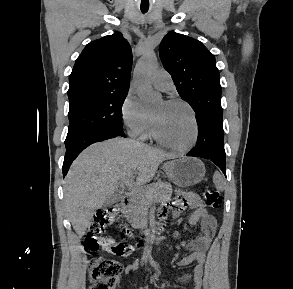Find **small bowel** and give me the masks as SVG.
<instances>
[{"mask_svg": "<svg viewBox=\"0 0 293 289\" xmlns=\"http://www.w3.org/2000/svg\"><path fill=\"white\" fill-rule=\"evenodd\" d=\"M180 201L183 202L182 207L178 206V202ZM176 204L179 208L188 206L194 210L189 218V224L191 226L196 225L198 222L201 223L202 234L186 243L185 247L188 253L179 262L180 266H187L193 263L196 264L193 272L183 278L180 282H192L193 289H201L203 285V270L206 260V253L215 235L217 222L214 216L206 210L205 203L194 194L184 195V198L178 200ZM177 215V210L172 212L173 217H176ZM166 216L167 214L160 213V217L162 219ZM174 237L178 238V233H174ZM139 267L140 264L137 261L129 263L125 266V272L130 273Z\"/></svg>", "mask_w": 293, "mask_h": 289, "instance_id": "1", "label": "small bowel"}]
</instances>
